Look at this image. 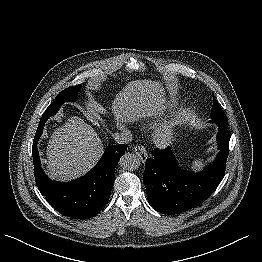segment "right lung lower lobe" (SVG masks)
I'll return each instance as SVG.
<instances>
[{"label": "right lung lower lobe", "mask_w": 262, "mask_h": 262, "mask_svg": "<svg viewBox=\"0 0 262 262\" xmlns=\"http://www.w3.org/2000/svg\"><path fill=\"white\" fill-rule=\"evenodd\" d=\"M49 117L40 119L32 154L36 184L48 203L61 214L73 219H86L97 215L109 200L114 184V171L127 145H110L97 165L85 176L72 182L49 179L41 168L37 149L44 124Z\"/></svg>", "instance_id": "98d812e1"}]
</instances>
